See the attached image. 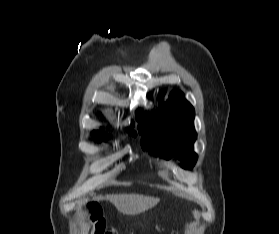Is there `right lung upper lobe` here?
I'll use <instances>...</instances> for the list:
<instances>
[{
  "label": "right lung upper lobe",
  "mask_w": 279,
  "mask_h": 234,
  "mask_svg": "<svg viewBox=\"0 0 279 234\" xmlns=\"http://www.w3.org/2000/svg\"><path fill=\"white\" fill-rule=\"evenodd\" d=\"M134 126V123L132 122L131 124V127ZM129 132H131L132 135H136L135 132H133L131 129H129ZM92 136L97 140V141H101V140H105L107 137H106V134L104 132H100V131H93L92 132Z\"/></svg>",
  "instance_id": "obj_1"
}]
</instances>
